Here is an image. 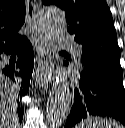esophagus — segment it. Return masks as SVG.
<instances>
[{
	"instance_id": "obj_1",
	"label": "esophagus",
	"mask_w": 125,
	"mask_h": 128,
	"mask_svg": "<svg viewBox=\"0 0 125 128\" xmlns=\"http://www.w3.org/2000/svg\"><path fill=\"white\" fill-rule=\"evenodd\" d=\"M26 18L30 32L32 33V43L35 47L38 58V69L36 83L41 88H47L52 80L53 56L49 41L42 35L36 19V1L26 0Z\"/></svg>"
}]
</instances>
